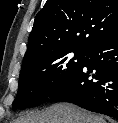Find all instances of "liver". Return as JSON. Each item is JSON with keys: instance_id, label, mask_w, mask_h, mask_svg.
<instances>
[{"instance_id": "obj_1", "label": "liver", "mask_w": 118, "mask_h": 123, "mask_svg": "<svg viewBox=\"0 0 118 123\" xmlns=\"http://www.w3.org/2000/svg\"><path fill=\"white\" fill-rule=\"evenodd\" d=\"M12 123H106L98 115L76 105L56 103L43 111H31Z\"/></svg>"}]
</instances>
